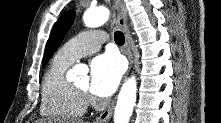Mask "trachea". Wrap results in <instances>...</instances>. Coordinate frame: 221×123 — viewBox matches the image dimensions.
I'll return each mask as SVG.
<instances>
[{"mask_svg":"<svg viewBox=\"0 0 221 123\" xmlns=\"http://www.w3.org/2000/svg\"><path fill=\"white\" fill-rule=\"evenodd\" d=\"M114 40L117 45L121 46L125 43V37L124 34L121 31H116L114 33Z\"/></svg>","mask_w":221,"mask_h":123,"instance_id":"3493384b","label":"trachea"}]
</instances>
